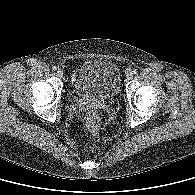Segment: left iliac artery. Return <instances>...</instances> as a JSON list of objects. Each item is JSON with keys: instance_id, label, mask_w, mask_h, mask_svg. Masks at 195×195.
<instances>
[{"instance_id": "44dca946", "label": "left iliac artery", "mask_w": 195, "mask_h": 195, "mask_svg": "<svg viewBox=\"0 0 195 195\" xmlns=\"http://www.w3.org/2000/svg\"><path fill=\"white\" fill-rule=\"evenodd\" d=\"M138 71L135 69L134 71H132V74H137Z\"/></svg>"}]
</instances>
